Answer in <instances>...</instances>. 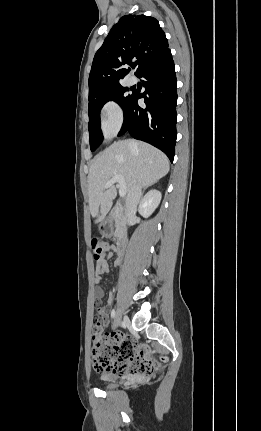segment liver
I'll use <instances>...</instances> for the list:
<instances>
[{
  "instance_id": "1",
  "label": "liver",
  "mask_w": 261,
  "mask_h": 431,
  "mask_svg": "<svg viewBox=\"0 0 261 431\" xmlns=\"http://www.w3.org/2000/svg\"><path fill=\"white\" fill-rule=\"evenodd\" d=\"M169 172V160L155 147L135 140L118 141L98 154L88 175L89 208L95 223L105 219L117 191L104 185L115 175L124 177L127 193L136 183L153 185Z\"/></svg>"
}]
</instances>
